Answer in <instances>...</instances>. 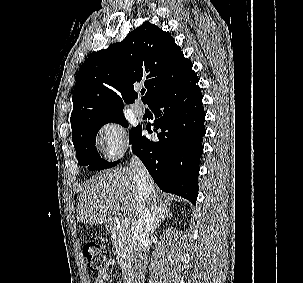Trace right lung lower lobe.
Returning a JSON list of instances; mask_svg holds the SVG:
<instances>
[{
	"instance_id": "1",
	"label": "right lung lower lobe",
	"mask_w": 303,
	"mask_h": 283,
	"mask_svg": "<svg viewBox=\"0 0 303 283\" xmlns=\"http://www.w3.org/2000/svg\"><path fill=\"white\" fill-rule=\"evenodd\" d=\"M198 81L194 72L181 84L154 98L148 105L156 120L146 128L149 132L160 130L158 141L146 139L140 130L132 143L133 153L159 188L194 205L198 196L202 137L206 133Z\"/></svg>"
}]
</instances>
